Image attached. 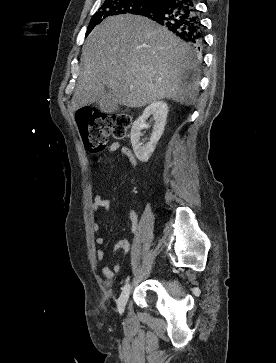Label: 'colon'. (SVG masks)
I'll list each match as a JSON object with an SVG mask.
<instances>
[{
    "mask_svg": "<svg viewBox=\"0 0 276 363\" xmlns=\"http://www.w3.org/2000/svg\"><path fill=\"white\" fill-rule=\"evenodd\" d=\"M76 120L85 148L92 154L105 149L109 136L124 138L130 126V117L125 113H105L90 108L78 109Z\"/></svg>",
    "mask_w": 276,
    "mask_h": 363,
    "instance_id": "obj_1",
    "label": "colon"
}]
</instances>
